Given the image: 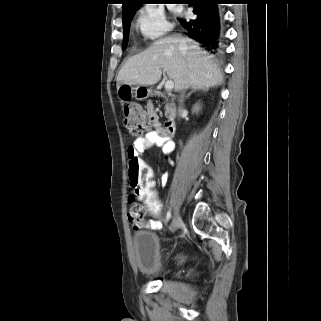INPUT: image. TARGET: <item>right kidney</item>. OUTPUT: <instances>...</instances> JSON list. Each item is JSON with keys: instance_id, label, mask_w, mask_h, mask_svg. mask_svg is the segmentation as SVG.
I'll return each instance as SVG.
<instances>
[{"instance_id": "right-kidney-1", "label": "right kidney", "mask_w": 321, "mask_h": 321, "mask_svg": "<svg viewBox=\"0 0 321 321\" xmlns=\"http://www.w3.org/2000/svg\"><path fill=\"white\" fill-rule=\"evenodd\" d=\"M198 110H199V105L196 104L195 107H194V109H193V112H196V111H198Z\"/></svg>"}]
</instances>
